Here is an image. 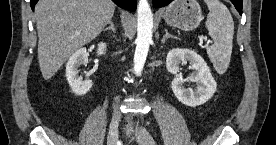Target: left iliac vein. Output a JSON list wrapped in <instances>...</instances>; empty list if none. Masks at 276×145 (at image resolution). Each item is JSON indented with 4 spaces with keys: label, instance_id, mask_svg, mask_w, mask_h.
<instances>
[{
    "label": "left iliac vein",
    "instance_id": "1",
    "mask_svg": "<svg viewBox=\"0 0 276 145\" xmlns=\"http://www.w3.org/2000/svg\"><path fill=\"white\" fill-rule=\"evenodd\" d=\"M135 135L140 145H155L152 135L145 128L138 126Z\"/></svg>",
    "mask_w": 276,
    "mask_h": 145
}]
</instances>
